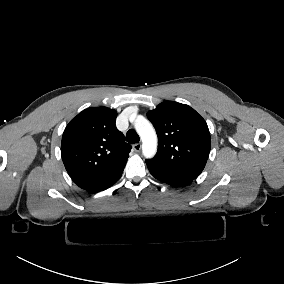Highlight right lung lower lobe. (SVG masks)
I'll return each instance as SVG.
<instances>
[{"instance_id": "98d812e1", "label": "right lung lower lobe", "mask_w": 284, "mask_h": 284, "mask_svg": "<svg viewBox=\"0 0 284 284\" xmlns=\"http://www.w3.org/2000/svg\"><path fill=\"white\" fill-rule=\"evenodd\" d=\"M120 177H121V176H120ZM120 177H119L115 182H117V181L120 179ZM115 182H114V183H115ZM114 183H113V184H114ZM113 184H112V185H113ZM112 185H111V186H112ZM109 187H110V186H109ZM109 187H108V188H109ZM106 189H107V188H106ZM104 190H105V189H104Z\"/></svg>"}]
</instances>
